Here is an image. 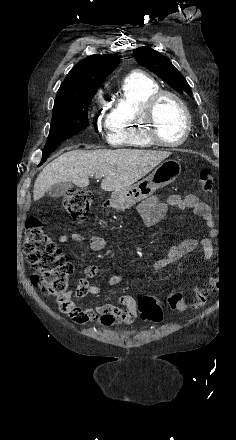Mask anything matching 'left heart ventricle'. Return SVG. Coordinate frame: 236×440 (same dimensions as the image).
Listing matches in <instances>:
<instances>
[{"instance_id":"obj_1","label":"left heart ventricle","mask_w":236,"mask_h":440,"mask_svg":"<svg viewBox=\"0 0 236 440\" xmlns=\"http://www.w3.org/2000/svg\"><path fill=\"white\" fill-rule=\"evenodd\" d=\"M158 132L164 141H177L185 129V116L178 103L170 98H163L156 110Z\"/></svg>"}]
</instances>
